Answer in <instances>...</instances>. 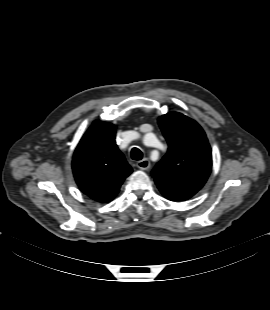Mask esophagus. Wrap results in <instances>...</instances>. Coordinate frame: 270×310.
Segmentation results:
<instances>
[{
	"label": "esophagus",
	"mask_w": 270,
	"mask_h": 310,
	"mask_svg": "<svg viewBox=\"0 0 270 310\" xmlns=\"http://www.w3.org/2000/svg\"><path fill=\"white\" fill-rule=\"evenodd\" d=\"M137 167L141 170H147L150 167V162L148 159H143L137 162Z\"/></svg>",
	"instance_id": "1"
}]
</instances>
